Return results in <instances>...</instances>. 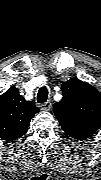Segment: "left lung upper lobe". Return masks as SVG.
Listing matches in <instances>:
<instances>
[{"label": "left lung upper lobe", "instance_id": "obj_1", "mask_svg": "<svg viewBox=\"0 0 101 180\" xmlns=\"http://www.w3.org/2000/svg\"><path fill=\"white\" fill-rule=\"evenodd\" d=\"M63 99L53 111L65 133L77 140L92 136L101 125V94L89 83L70 78L61 86Z\"/></svg>", "mask_w": 101, "mask_h": 180}]
</instances>
